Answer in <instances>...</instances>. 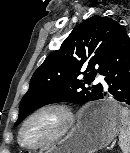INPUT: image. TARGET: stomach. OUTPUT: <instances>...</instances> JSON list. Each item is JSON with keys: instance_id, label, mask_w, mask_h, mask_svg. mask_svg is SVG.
I'll return each mask as SVG.
<instances>
[{"instance_id": "obj_1", "label": "stomach", "mask_w": 130, "mask_h": 153, "mask_svg": "<svg viewBox=\"0 0 130 153\" xmlns=\"http://www.w3.org/2000/svg\"><path fill=\"white\" fill-rule=\"evenodd\" d=\"M120 108L115 101L106 100L84 109L75 128L42 153H94L106 147L122 126Z\"/></svg>"}]
</instances>
